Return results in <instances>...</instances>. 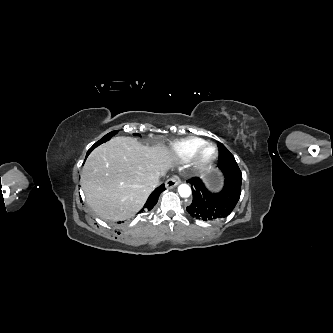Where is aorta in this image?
<instances>
[{
    "label": "aorta",
    "mask_w": 333,
    "mask_h": 333,
    "mask_svg": "<svg viewBox=\"0 0 333 333\" xmlns=\"http://www.w3.org/2000/svg\"><path fill=\"white\" fill-rule=\"evenodd\" d=\"M178 192L181 197H189L191 194V188L187 184H181L178 187Z\"/></svg>",
    "instance_id": "1"
}]
</instances>
